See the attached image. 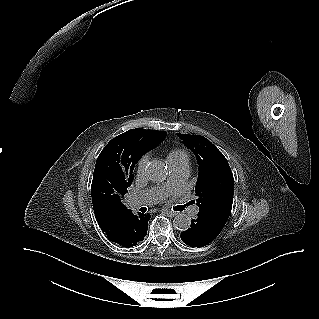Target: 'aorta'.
<instances>
[{
    "instance_id": "762f6f07",
    "label": "aorta",
    "mask_w": 319,
    "mask_h": 319,
    "mask_svg": "<svg viewBox=\"0 0 319 319\" xmlns=\"http://www.w3.org/2000/svg\"><path fill=\"white\" fill-rule=\"evenodd\" d=\"M146 176L153 182H162L167 177V167L162 161L152 160L145 167ZM191 219L186 214H177L173 220L174 228L185 231L190 228Z\"/></svg>"
}]
</instances>
